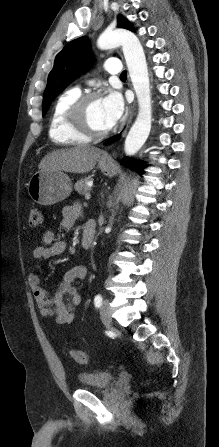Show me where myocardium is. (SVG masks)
<instances>
[{
  "mask_svg": "<svg viewBox=\"0 0 219 447\" xmlns=\"http://www.w3.org/2000/svg\"><path fill=\"white\" fill-rule=\"evenodd\" d=\"M98 93H85L79 95L68 111L70 125L80 134L89 139H99L107 136L111 129H96L89 120V108L91 104L99 100Z\"/></svg>",
  "mask_w": 219,
  "mask_h": 447,
  "instance_id": "f54148a6",
  "label": "myocardium"
}]
</instances>
